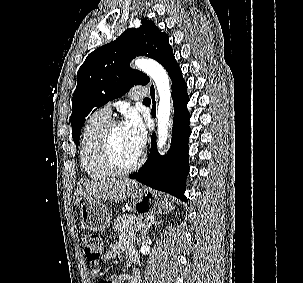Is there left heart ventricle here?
Returning a JSON list of instances; mask_svg holds the SVG:
<instances>
[{
  "label": "left heart ventricle",
  "instance_id": "b2bd125f",
  "mask_svg": "<svg viewBox=\"0 0 303 283\" xmlns=\"http://www.w3.org/2000/svg\"><path fill=\"white\" fill-rule=\"evenodd\" d=\"M112 149L115 160L120 166L131 165L140 153V151L132 145L122 126L115 128L113 131Z\"/></svg>",
  "mask_w": 303,
  "mask_h": 283
}]
</instances>
